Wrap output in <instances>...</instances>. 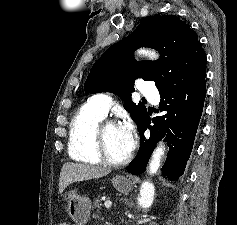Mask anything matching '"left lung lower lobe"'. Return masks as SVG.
Returning <instances> with one entry per match:
<instances>
[{"instance_id":"obj_1","label":"left lung lower lobe","mask_w":237,"mask_h":225,"mask_svg":"<svg viewBox=\"0 0 237 225\" xmlns=\"http://www.w3.org/2000/svg\"><path fill=\"white\" fill-rule=\"evenodd\" d=\"M160 97L159 110L167 113L153 118L154 124L151 125V113L147 112L138 126L141 136L139 152L127 171L135 175L143 173L156 142L166 137L169 152L162 167V175L175 181L183 175L191 155L206 97L205 77L173 91L160 92ZM146 129L151 131L149 139L144 136Z\"/></svg>"}]
</instances>
